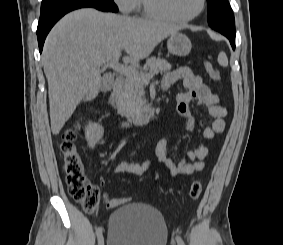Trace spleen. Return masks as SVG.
I'll return each instance as SVG.
<instances>
[{"label": "spleen", "instance_id": "3e777b00", "mask_svg": "<svg viewBox=\"0 0 283 245\" xmlns=\"http://www.w3.org/2000/svg\"><path fill=\"white\" fill-rule=\"evenodd\" d=\"M218 63L223 66L227 67L228 66V58L224 52H220L218 55Z\"/></svg>", "mask_w": 283, "mask_h": 245}]
</instances>
